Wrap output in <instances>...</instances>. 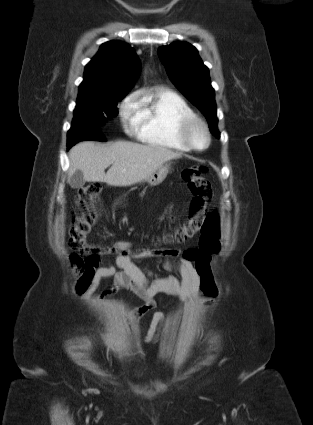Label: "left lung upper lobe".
<instances>
[{
	"label": "left lung upper lobe",
	"instance_id": "1",
	"mask_svg": "<svg viewBox=\"0 0 313 425\" xmlns=\"http://www.w3.org/2000/svg\"><path fill=\"white\" fill-rule=\"evenodd\" d=\"M158 55L170 80L205 115L212 134L219 138L214 89L197 49L187 42H174L160 47Z\"/></svg>",
	"mask_w": 313,
	"mask_h": 425
}]
</instances>
